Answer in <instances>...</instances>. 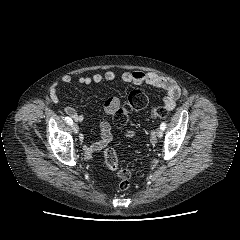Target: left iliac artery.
Returning a JSON list of instances; mask_svg holds the SVG:
<instances>
[{
	"instance_id": "44dca946",
	"label": "left iliac artery",
	"mask_w": 240,
	"mask_h": 240,
	"mask_svg": "<svg viewBox=\"0 0 240 240\" xmlns=\"http://www.w3.org/2000/svg\"><path fill=\"white\" fill-rule=\"evenodd\" d=\"M160 128H161L162 130H164V129L166 128V123H165V122H162L161 125H160Z\"/></svg>"
}]
</instances>
